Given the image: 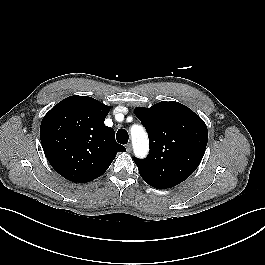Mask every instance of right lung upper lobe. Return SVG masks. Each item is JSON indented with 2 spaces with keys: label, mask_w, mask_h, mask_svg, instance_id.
<instances>
[{
  "label": "right lung upper lobe",
  "mask_w": 265,
  "mask_h": 265,
  "mask_svg": "<svg viewBox=\"0 0 265 265\" xmlns=\"http://www.w3.org/2000/svg\"><path fill=\"white\" fill-rule=\"evenodd\" d=\"M109 106L88 97L70 96L43 118L40 138L54 170L65 179L86 183L108 169L124 146L116 143L114 130L105 126Z\"/></svg>",
  "instance_id": "obj_1"
}]
</instances>
